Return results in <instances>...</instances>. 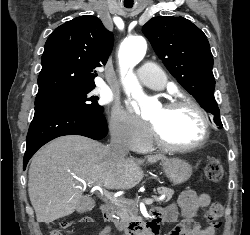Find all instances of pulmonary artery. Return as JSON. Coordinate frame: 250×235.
<instances>
[{
    "instance_id": "obj_1",
    "label": "pulmonary artery",
    "mask_w": 250,
    "mask_h": 235,
    "mask_svg": "<svg viewBox=\"0 0 250 235\" xmlns=\"http://www.w3.org/2000/svg\"><path fill=\"white\" fill-rule=\"evenodd\" d=\"M140 81L153 90H162L166 86L165 74L152 64L142 66Z\"/></svg>"
}]
</instances>
